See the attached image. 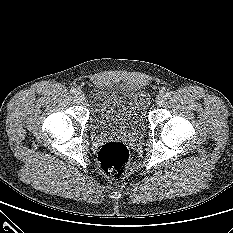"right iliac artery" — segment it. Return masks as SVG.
I'll use <instances>...</instances> for the list:
<instances>
[{
    "instance_id": "right-iliac-artery-1",
    "label": "right iliac artery",
    "mask_w": 233,
    "mask_h": 233,
    "mask_svg": "<svg viewBox=\"0 0 233 233\" xmlns=\"http://www.w3.org/2000/svg\"><path fill=\"white\" fill-rule=\"evenodd\" d=\"M70 92H71L72 94H76V93H77V90L73 88V89L70 90Z\"/></svg>"
}]
</instances>
